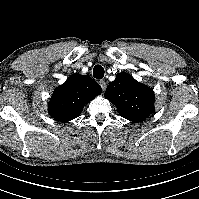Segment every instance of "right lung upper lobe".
<instances>
[{
	"label": "right lung upper lobe",
	"mask_w": 199,
	"mask_h": 199,
	"mask_svg": "<svg viewBox=\"0 0 199 199\" xmlns=\"http://www.w3.org/2000/svg\"><path fill=\"white\" fill-rule=\"evenodd\" d=\"M101 91L100 85L90 76L73 74L54 90L48 104L49 114L57 121L68 122L78 117L84 105Z\"/></svg>",
	"instance_id": "1"
}]
</instances>
